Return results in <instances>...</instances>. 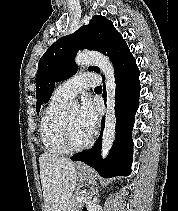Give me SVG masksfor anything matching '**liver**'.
Listing matches in <instances>:
<instances>
[{
  "mask_svg": "<svg viewBox=\"0 0 178 211\" xmlns=\"http://www.w3.org/2000/svg\"><path fill=\"white\" fill-rule=\"evenodd\" d=\"M39 166L46 211H68L76 187L75 163L68 158L43 153Z\"/></svg>",
  "mask_w": 178,
  "mask_h": 211,
  "instance_id": "1",
  "label": "liver"
}]
</instances>
